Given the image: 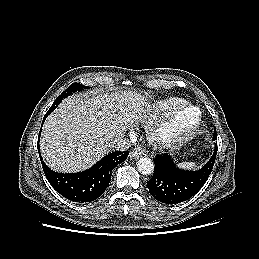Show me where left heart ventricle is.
<instances>
[{"label":"left heart ventricle","mask_w":259,"mask_h":259,"mask_svg":"<svg viewBox=\"0 0 259 259\" xmlns=\"http://www.w3.org/2000/svg\"><path fill=\"white\" fill-rule=\"evenodd\" d=\"M194 117H195L194 112H187L179 118V123L186 124V123L190 122L191 120H193Z\"/></svg>","instance_id":"left-heart-ventricle-1"}]
</instances>
